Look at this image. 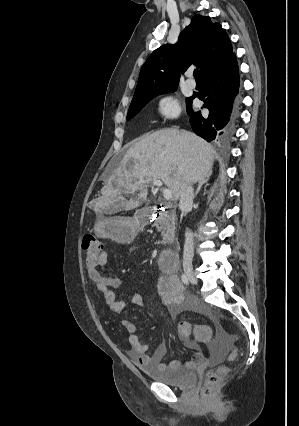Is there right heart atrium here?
I'll return each instance as SVG.
<instances>
[{
  "label": "right heart atrium",
  "instance_id": "d8ad5b80",
  "mask_svg": "<svg viewBox=\"0 0 299 426\" xmlns=\"http://www.w3.org/2000/svg\"><path fill=\"white\" fill-rule=\"evenodd\" d=\"M181 108L177 98L171 94L160 96L156 103V112L163 119H174L180 114Z\"/></svg>",
  "mask_w": 299,
  "mask_h": 426
}]
</instances>
